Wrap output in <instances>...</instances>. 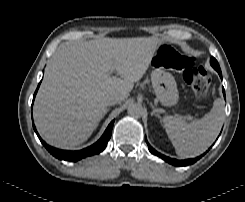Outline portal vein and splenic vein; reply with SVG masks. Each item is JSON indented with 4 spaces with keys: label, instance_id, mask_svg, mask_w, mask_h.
<instances>
[{
    "label": "portal vein and splenic vein",
    "instance_id": "1",
    "mask_svg": "<svg viewBox=\"0 0 245 202\" xmlns=\"http://www.w3.org/2000/svg\"><path fill=\"white\" fill-rule=\"evenodd\" d=\"M185 119L191 120L192 118L190 116H184Z\"/></svg>",
    "mask_w": 245,
    "mask_h": 202
}]
</instances>
